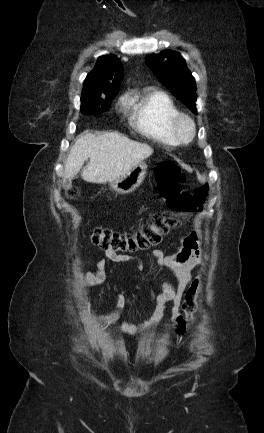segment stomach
Instances as JSON below:
<instances>
[{
    "label": "stomach",
    "instance_id": "0dacf381",
    "mask_svg": "<svg viewBox=\"0 0 264 433\" xmlns=\"http://www.w3.org/2000/svg\"><path fill=\"white\" fill-rule=\"evenodd\" d=\"M147 164L140 162L127 174L110 182V188L119 194H128L136 190L145 179Z\"/></svg>",
    "mask_w": 264,
    "mask_h": 433
}]
</instances>
